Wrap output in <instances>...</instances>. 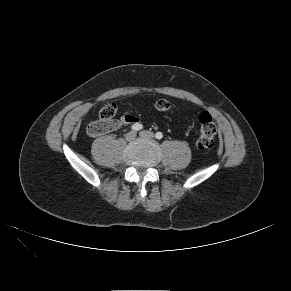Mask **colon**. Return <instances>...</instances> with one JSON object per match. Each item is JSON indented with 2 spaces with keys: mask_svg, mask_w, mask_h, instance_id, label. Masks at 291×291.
I'll list each match as a JSON object with an SVG mask.
<instances>
[{
  "mask_svg": "<svg viewBox=\"0 0 291 291\" xmlns=\"http://www.w3.org/2000/svg\"><path fill=\"white\" fill-rule=\"evenodd\" d=\"M116 106L120 107L121 103L115 101L114 104L104 105L98 113V119L87 126V133L90 136H99L112 130V121L116 113ZM170 102L166 99H160L156 102L155 108L160 112L170 109ZM199 137L197 146L202 151H208L213 148L216 135V124L208 112H201L198 116Z\"/></svg>",
  "mask_w": 291,
  "mask_h": 291,
  "instance_id": "obj_1",
  "label": "colon"
}]
</instances>
